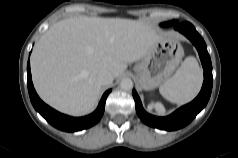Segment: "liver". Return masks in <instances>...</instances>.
Returning <instances> with one entry per match:
<instances>
[{
	"label": "liver",
	"mask_w": 238,
	"mask_h": 158,
	"mask_svg": "<svg viewBox=\"0 0 238 158\" xmlns=\"http://www.w3.org/2000/svg\"><path fill=\"white\" fill-rule=\"evenodd\" d=\"M163 34L139 20L77 17L53 24L31 56L33 83L39 96L55 109L82 116L97 106L101 70L113 78L128 63L142 59Z\"/></svg>",
	"instance_id": "6515ba94"
}]
</instances>
